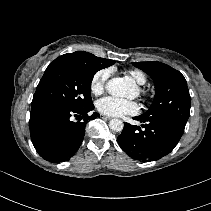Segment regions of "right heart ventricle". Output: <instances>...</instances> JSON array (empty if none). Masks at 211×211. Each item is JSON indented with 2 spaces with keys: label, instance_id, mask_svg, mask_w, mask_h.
Instances as JSON below:
<instances>
[{
  "label": "right heart ventricle",
  "instance_id": "1",
  "mask_svg": "<svg viewBox=\"0 0 211 211\" xmlns=\"http://www.w3.org/2000/svg\"><path fill=\"white\" fill-rule=\"evenodd\" d=\"M127 74L138 84L144 85L147 82V77L144 72L140 70H129Z\"/></svg>",
  "mask_w": 211,
  "mask_h": 211
}]
</instances>
